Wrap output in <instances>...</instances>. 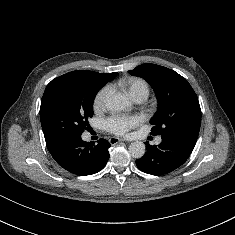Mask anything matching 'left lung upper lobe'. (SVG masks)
<instances>
[{"instance_id":"left-lung-upper-lobe-1","label":"left lung upper lobe","mask_w":235,"mask_h":235,"mask_svg":"<svg viewBox=\"0 0 235 235\" xmlns=\"http://www.w3.org/2000/svg\"><path fill=\"white\" fill-rule=\"evenodd\" d=\"M131 75L145 79L154 89L158 110L151 118L152 135L191 134L198 136L201 109L190 84L177 72L155 64H142Z\"/></svg>"}]
</instances>
